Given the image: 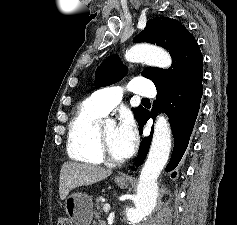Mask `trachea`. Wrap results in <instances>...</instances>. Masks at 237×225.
Listing matches in <instances>:
<instances>
[{
	"label": "trachea",
	"mask_w": 237,
	"mask_h": 225,
	"mask_svg": "<svg viewBox=\"0 0 237 225\" xmlns=\"http://www.w3.org/2000/svg\"><path fill=\"white\" fill-rule=\"evenodd\" d=\"M142 101L146 102V103H148V102L150 103L149 99H147V98L142 99Z\"/></svg>",
	"instance_id": "obj_1"
}]
</instances>
